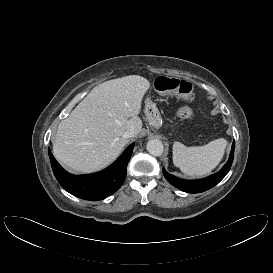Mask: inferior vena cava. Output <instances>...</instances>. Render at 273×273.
<instances>
[{"label":"inferior vena cava","instance_id":"inferior-vena-cava-1","mask_svg":"<svg viewBox=\"0 0 273 273\" xmlns=\"http://www.w3.org/2000/svg\"><path fill=\"white\" fill-rule=\"evenodd\" d=\"M134 130L130 129L124 132L123 137L128 139L134 137Z\"/></svg>","mask_w":273,"mask_h":273}]
</instances>
